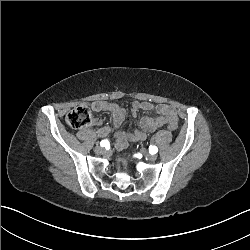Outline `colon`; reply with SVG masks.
I'll return each instance as SVG.
<instances>
[{
	"label": "colon",
	"instance_id": "5ec220e1",
	"mask_svg": "<svg viewBox=\"0 0 250 250\" xmlns=\"http://www.w3.org/2000/svg\"><path fill=\"white\" fill-rule=\"evenodd\" d=\"M65 121L72 129H82L91 124L92 114L86 107H75L66 114ZM178 126V123L173 120L167 123V128L172 133L178 131Z\"/></svg>",
	"mask_w": 250,
	"mask_h": 250
}]
</instances>
